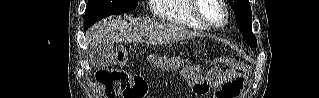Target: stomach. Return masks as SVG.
Instances as JSON below:
<instances>
[{"label": "stomach", "mask_w": 319, "mask_h": 98, "mask_svg": "<svg viewBox=\"0 0 319 98\" xmlns=\"http://www.w3.org/2000/svg\"><path fill=\"white\" fill-rule=\"evenodd\" d=\"M183 77L187 80L188 84L191 87V92L195 95L200 94V85L201 81L199 80L197 74L191 72L189 69H185L182 73Z\"/></svg>", "instance_id": "obj_1"}]
</instances>
